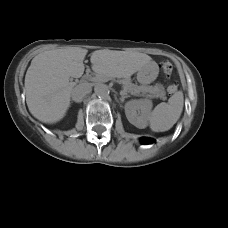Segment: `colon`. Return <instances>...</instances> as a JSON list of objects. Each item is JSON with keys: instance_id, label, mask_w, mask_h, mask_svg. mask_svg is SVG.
<instances>
[{"instance_id": "5ec220e1", "label": "colon", "mask_w": 228, "mask_h": 228, "mask_svg": "<svg viewBox=\"0 0 228 228\" xmlns=\"http://www.w3.org/2000/svg\"><path fill=\"white\" fill-rule=\"evenodd\" d=\"M162 69H163L164 73H165L167 76H170L171 73H172V71H173V66H172V64L169 63V62H164V63L162 64ZM167 90H168V93H169V94H173V93H175L176 90H177V85H176L175 83H172V84H170V85L168 86V89H167Z\"/></svg>"}]
</instances>
